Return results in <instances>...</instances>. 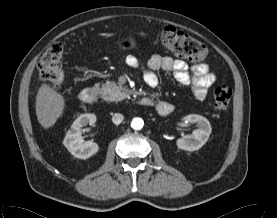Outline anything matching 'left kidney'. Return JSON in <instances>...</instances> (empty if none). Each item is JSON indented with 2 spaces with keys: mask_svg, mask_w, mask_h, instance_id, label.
I'll use <instances>...</instances> for the list:
<instances>
[{
  "mask_svg": "<svg viewBox=\"0 0 277 218\" xmlns=\"http://www.w3.org/2000/svg\"><path fill=\"white\" fill-rule=\"evenodd\" d=\"M185 123L196 124L195 129L191 135L179 138L176 142L177 147L186 151H195L200 149L209 139L212 131L210 122L203 116L197 114H190L182 118Z\"/></svg>",
  "mask_w": 277,
  "mask_h": 218,
  "instance_id": "obj_1",
  "label": "left kidney"
}]
</instances>
